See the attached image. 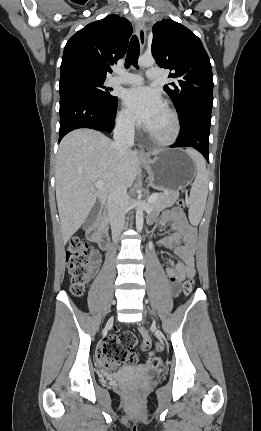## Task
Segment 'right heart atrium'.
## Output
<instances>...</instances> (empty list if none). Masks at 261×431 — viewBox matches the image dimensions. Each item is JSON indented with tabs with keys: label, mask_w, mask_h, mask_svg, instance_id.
Listing matches in <instances>:
<instances>
[{
	"label": "right heart atrium",
	"mask_w": 261,
	"mask_h": 431,
	"mask_svg": "<svg viewBox=\"0 0 261 431\" xmlns=\"http://www.w3.org/2000/svg\"><path fill=\"white\" fill-rule=\"evenodd\" d=\"M116 121L117 125L125 130H131L135 125L132 116L125 109H121L118 111Z\"/></svg>",
	"instance_id": "right-heart-atrium-1"
}]
</instances>
